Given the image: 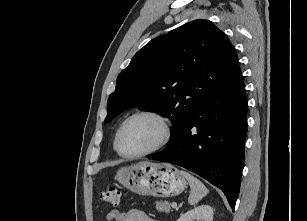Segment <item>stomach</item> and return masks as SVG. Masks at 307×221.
<instances>
[{
	"label": "stomach",
	"instance_id": "0dacf381",
	"mask_svg": "<svg viewBox=\"0 0 307 221\" xmlns=\"http://www.w3.org/2000/svg\"><path fill=\"white\" fill-rule=\"evenodd\" d=\"M115 179L132 192L143 196H176L187 185L181 171L173 165L148 161L120 168Z\"/></svg>",
	"mask_w": 307,
	"mask_h": 221
}]
</instances>
